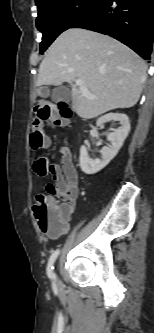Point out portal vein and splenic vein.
<instances>
[{
  "label": "portal vein and splenic vein",
  "instance_id": "1",
  "mask_svg": "<svg viewBox=\"0 0 154 333\" xmlns=\"http://www.w3.org/2000/svg\"><path fill=\"white\" fill-rule=\"evenodd\" d=\"M75 84L80 88V90L82 91V93L87 96L90 99H96V97L94 95H92L91 93H89V91L87 90V88H85L83 86V81L81 79H77L75 81Z\"/></svg>",
  "mask_w": 154,
  "mask_h": 333
}]
</instances>
